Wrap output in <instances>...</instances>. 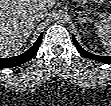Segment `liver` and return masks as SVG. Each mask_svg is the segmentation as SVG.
I'll use <instances>...</instances> for the list:
<instances>
[{"mask_svg": "<svg viewBox=\"0 0 111 106\" xmlns=\"http://www.w3.org/2000/svg\"><path fill=\"white\" fill-rule=\"evenodd\" d=\"M52 0H1L0 1V54L3 57L24 46L35 25L34 11L50 9Z\"/></svg>", "mask_w": 111, "mask_h": 106, "instance_id": "obj_1", "label": "liver"}]
</instances>
